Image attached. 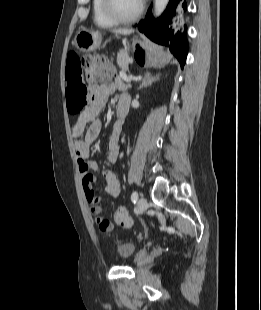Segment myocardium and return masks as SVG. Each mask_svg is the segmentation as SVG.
I'll use <instances>...</instances> for the list:
<instances>
[{
  "mask_svg": "<svg viewBox=\"0 0 261 310\" xmlns=\"http://www.w3.org/2000/svg\"><path fill=\"white\" fill-rule=\"evenodd\" d=\"M101 9L104 15L116 24L132 23L140 18L144 10V4L141 2L139 9L136 13L129 17L119 15L113 8L112 0H101Z\"/></svg>",
  "mask_w": 261,
  "mask_h": 310,
  "instance_id": "obj_1",
  "label": "myocardium"
}]
</instances>
